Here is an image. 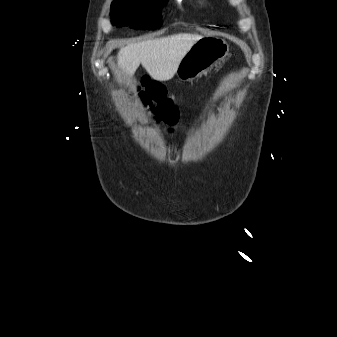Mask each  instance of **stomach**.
<instances>
[{"label": "stomach", "instance_id": "obj_1", "mask_svg": "<svg viewBox=\"0 0 337 337\" xmlns=\"http://www.w3.org/2000/svg\"><path fill=\"white\" fill-rule=\"evenodd\" d=\"M229 45L219 38H202L197 41L180 61L176 75L182 81H192L206 74L223 60Z\"/></svg>", "mask_w": 337, "mask_h": 337}]
</instances>
